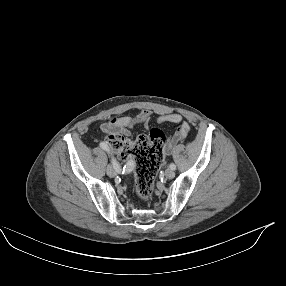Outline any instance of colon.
Instances as JSON below:
<instances>
[{"instance_id": "1", "label": "colon", "mask_w": 286, "mask_h": 286, "mask_svg": "<svg viewBox=\"0 0 286 286\" xmlns=\"http://www.w3.org/2000/svg\"><path fill=\"white\" fill-rule=\"evenodd\" d=\"M106 140L118 158L136 161L135 192L141 200H150L153 195L154 178L163 159V131L153 128L149 135H139L135 139L112 134Z\"/></svg>"}]
</instances>
